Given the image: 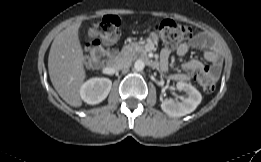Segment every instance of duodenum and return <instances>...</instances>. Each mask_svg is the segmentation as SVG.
<instances>
[{"mask_svg":"<svg viewBox=\"0 0 261 162\" xmlns=\"http://www.w3.org/2000/svg\"><path fill=\"white\" fill-rule=\"evenodd\" d=\"M138 54L145 60V62L153 67V68H159L161 65L157 60L151 59L147 56L146 52L144 50H138ZM119 62L118 54L115 50V48H109L108 52L105 53L104 60L101 64H97L98 66L102 67V69L111 71L114 69H117V64Z\"/></svg>","mask_w":261,"mask_h":162,"instance_id":"obj_1","label":"duodenum"}]
</instances>
